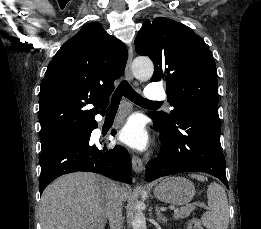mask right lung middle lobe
Wrapping results in <instances>:
<instances>
[{
  "label": "right lung middle lobe",
  "instance_id": "right-lung-middle-lobe-1",
  "mask_svg": "<svg viewBox=\"0 0 261 229\" xmlns=\"http://www.w3.org/2000/svg\"><path fill=\"white\" fill-rule=\"evenodd\" d=\"M40 140H41V144H42V149H41V152H42L53 146L54 133L46 132V133L40 134Z\"/></svg>",
  "mask_w": 261,
  "mask_h": 229
}]
</instances>
